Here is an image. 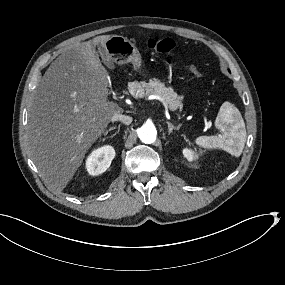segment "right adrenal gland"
<instances>
[{
  "mask_svg": "<svg viewBox=\"0 0 285 285\" xmlns=\"http://www.w3.org/2000/svg\"><path fill=\"white\" fill-rule=\"evenodd\" d=\"M114 129H116V126L110 127L108 130H106V131L104 132V136H106L110 131H112V130H114Z\"/></svg>",
  "mask_w": 285,
  "mask_h": 285,
  "instance_id": "obj_1",
  "label": "right adrenal gland"
}]
</instances>
